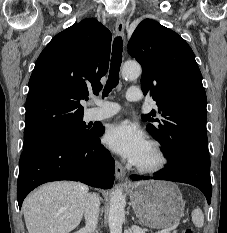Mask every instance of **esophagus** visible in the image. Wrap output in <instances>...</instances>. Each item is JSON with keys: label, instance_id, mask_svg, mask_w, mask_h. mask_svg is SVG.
<instances>
[{"label": "esophagus", "instance_id": "esophagus-1", "mask_svg": "<svg viewBox=\"0 0 227 233\" xmlns=\"http://www.w3.org/2000/svg\"><path fill=\"white\" fill-rule=\"evenodd\" d=\"M124 29H125V19L122 15H120L116 19L115 32L118 36H122L124 34ZM115 176L118 180H122V181L125 179L126 176L125 168L118 161H116L115 164Z\"/></svg>", "mask_w": 227, "mask_h": 233}]
</instances>
